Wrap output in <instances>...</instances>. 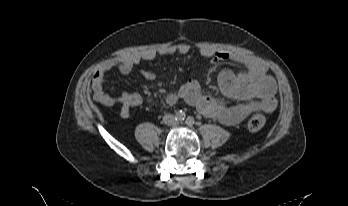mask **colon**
<instances>
[{
    "label": "colon",
    "mask_w": 348,
    "mask_h": 206,
    "mask_svg": "<svg viewBox=\"0 0 348 206\" xmlns=\"http://www.w3.org/2000/svg\"><path fill=\"white\" fill-rule=\"evenodd\" d=\"M104 79V75L101 76ZM266 118L262 114H254L247 121V128L250 131H258L264 127Z\"/></svg>",
    "instance_id": "colon-1"
}]
</instances>
